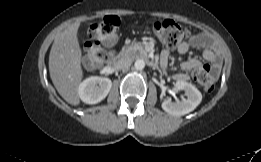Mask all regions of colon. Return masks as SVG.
<instances>
[{"mask_svg":"<svg viewBox=\"0 0 261 162\" xmlns=\"http://www.w3.org/2000/svg\"><path fill=\"white\" fill-rule=\"evenodd\" d=\"M120 20L116 16H107L101 21L93 23L88 30L89 43L85 50V57L91 64L99 65L103 62L105 53L103 47H111L117 40ZM153 31L159 40L167 47H175L188 37L189 30L172 20H159L154 23ZM196 81L206 92L215 88L214 76L207 70L195 73Z\"/></svg>","mask_w":261,"mask_h":162,"instance_id":"5ec220e1","label":"colon"}]
</instances>
